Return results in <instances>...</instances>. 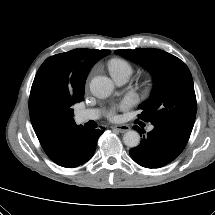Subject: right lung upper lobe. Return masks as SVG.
Here are the masks:
<instances>
[{
    "label": "right lung upper lobe",
    "instance_id": "right-lung-upper-lobe-1",
    "mask_svg": "<svg viewBox=\"0 0 215 215\" xmlns=\"http://www.w3.org/2000/svg\"><path fill=\"white\" fill-rule=\"evenodd\" d=\"M108 53L109 50L74 49L49 57L39 68L30 92L29 112L33 129L49 158L56 157L72 131L82 126L76 125L71 106L83 100L91 67ZM43 75L48 76L46 83L65 102L72 103L69 110L49 113L38 106L36 97Z\"/></svg>",
    "mask_w": 215,
    "mask_h": 215
}]
</instances>
